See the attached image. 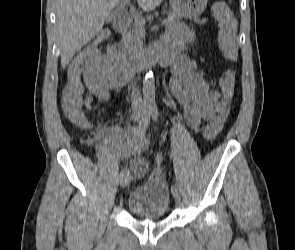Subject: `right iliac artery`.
<instances>
[{"instance_id":"82829eb1","label":"right iliac artery","mask_w":295,"mask_h":250,"mask_svg":"<svg viewBox=\"0 0 295 250\" xmlns=\"http://www.w3.org/2000/svg\"><path fill=\"white\" fill-rule=\"evenodd\" d=\"M150 116H151L150 110L145 109L143 111V116H142V119H141V122H140V129L138 130L140 133L141 132L143 133L145 131L144 129L148 127V125L150 123ZM124 175H129V170L128 169H124L122 171V176H124Z\"/></svg>"}]
</instances>
